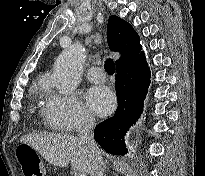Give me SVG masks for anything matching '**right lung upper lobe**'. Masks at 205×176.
<instances>
[{
  "instance_id": "obj_1",
  "label": "right lung upper lobe",
  "mask_w": 205,
  "mask_h": 176,
  "mask_svg": "<svg viewBox=\"0 0 205 176\" xmlns=\"http://www.w3.org/2000/svg\"><path fill=\"white\" fill-rule=\"evenodd\" d=\"M107 40L113 51L121 53V58L116 61V66H122L141 52L140 39L133 27L123 19L112 15L108 20Z\"/></svg>"
}]
</instances>
